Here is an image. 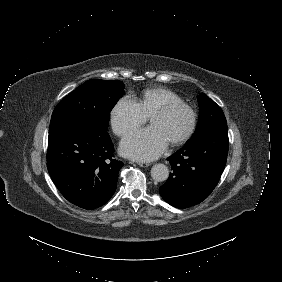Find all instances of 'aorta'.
I'll use <instances>...</instances> for the list:
<instances>
[{
    "label": "aorta",
    "mask_w": 282,
    "mask_h": 282,
    "mask_svg": "<svg viewBox=\"0 0 282 282\" xmlns=\"http://www.w3.org/2000/svg\"><path fill=\"white\" fill-rule=\"evenodd\" d=\"M168 176L169 170L164 164H155L151 169V177L157 182L167 180Z\"/></svg>",
    "instance_id": "aorta-1"
}]
</instances>
